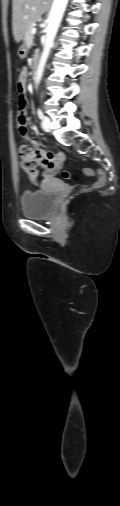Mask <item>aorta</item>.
<instances>
[{"label":"aorta","instance_id":"aorta-1","mask_svg":"<svg viewBox=\"0 0 120 506\" xmlns=\"http://www.w3.org/2000/svg\"><path fill=\"white\" fill-rule=\"evenodd\" d=\"M68 0H54L49 17L48 23L45 29L46 38L44 42L43 52L41 54L36 74H35V82L39 84L45 69V65L51 51V48L54 44V39L57 34L64 10L66 8Z\"/></svg>","mask_w":120,"mask_h":506}]
</instances>
